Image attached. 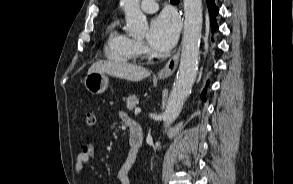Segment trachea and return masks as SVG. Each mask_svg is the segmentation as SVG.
Returning a JSON list of instances; mask_svg holds the SVG:
<instances>
[{
    "label": "trachea",
    "mask_w": 293,
    "mask_h": 184,
    "mask_svg": "<svg viewBox=\"0 0 293 184\" xmlns=\"http://www.w3.org/2000/svg\"><path fill=\"white\" fill-rule=\"evenodd\" d=\"M170 1H178V0H170Z\"/></svg>",
    "instance_id": "3493384b"
}]
</instances>
